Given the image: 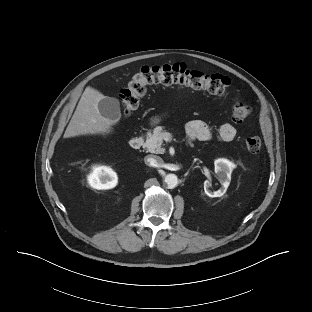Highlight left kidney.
<instances>
[{
    "mask_svg": "<svg viewBox=\"0 0 312 312\" xmlns=\"http://www.w3.org/2000/svg\"><path fill=\"white\" fill-rule=\"evenodd\" d=\"M215 173L217 174L220 182L222 183L223 189L218 191H211L209 188L211 186L210 181L206 180L204 182V191L209 197H221L224 195L226 189L228 188L231 180V172L235 168V164L227 159H217L214 162Z\"/></svg>",
    "mask_w": 312,
    "mask_h": 312,
    "instance_id": "1",
    "label": "left kidney"
}]
</instances>
